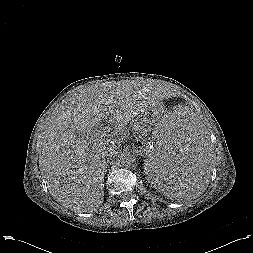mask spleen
Here are the masks:
<instances>
[{
  "mask_svg": "<svg viewBox=\"0 0 253 253\" xmlns=\"http://www.w3.org/2000/svg\"><path fill=\"white\" fill-rule=\"evenodd\" d=\"M145 155L147 180L172 199L198 196L210 179L209 134L188 110H172L154 125Z\"/></svg>",
  "mask_w": 253,
  "mask_h": 253,
  "instance_id": "obj_1",
  "label": "spleen"
}]
</instances>
